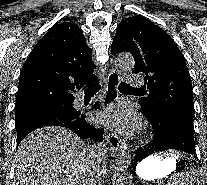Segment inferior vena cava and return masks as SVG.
Returning a JSON list of instances; mask_svg holds the SVG:
<instances>
[{
    "label": "inferior vena cava",
    "mask_w": 207,
    "mask_h": 185,
    "mask_svg": "<svg viewBox=\"0 0 207 185\" xmlns=\"http://www.w3.org/2000/svg\"><path fill=\"white\" fill-rule=\"evenodd\" d=\"M95 161H96V163H101V161H98V157H94L93 165H94Z\"/></svg>",
    "instance_id": "inferior-vena-cava-1"
}]
</instances>
